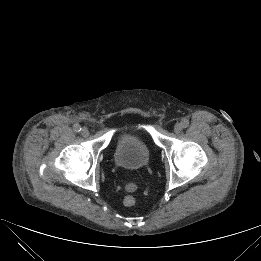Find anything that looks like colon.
I'll return each instance as SVG.
<instances>
[{
    "instance_id": "obj_1",
    "label": "colon",
    "mask_w": 261,
    "mask_h": 261,
    "mask_svg": "<svg viewBox=\"0 0 261 261\" xmlns=\"http://www.w3.org/2000/svg\"><path fill=\"white\" fill-rule=\"evenodd\" d=\"M135 202V197L132 194H127L123 198V204L127 207L133 206Z\"/></svg>"
}]
</instances>
